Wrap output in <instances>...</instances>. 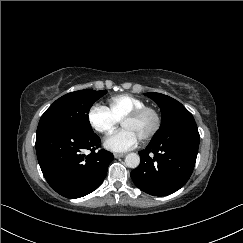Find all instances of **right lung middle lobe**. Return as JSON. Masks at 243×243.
Returning a JSON list of instances; mask_svg holds the SVG:
<instances>
[{"mask_svg":"<svg viewBox=\"0 0 243 243\" xmlns=\"http://www.w3.org/2000/svg\"><path fill=\"white\" fill-rule=\"evenodd\" d=\"M107 91L80 90L57 99L42 115L37 132L62 128L83 133H92L88 113L96 100Z\"/></svg>","mask_w":243,"mask_h":243,"instance_id":"right-lung-middle-lobe-1","label":"right lung middle lobe"}]
</instances>
